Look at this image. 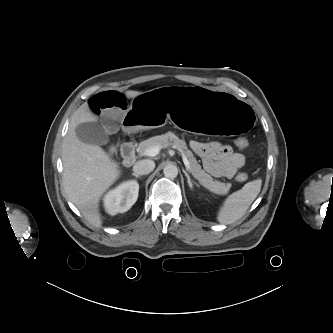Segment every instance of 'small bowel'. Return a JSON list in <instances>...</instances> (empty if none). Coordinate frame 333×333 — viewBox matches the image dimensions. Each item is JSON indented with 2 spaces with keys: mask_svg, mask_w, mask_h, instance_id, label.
Masks as SVG:
<instances>
[{
  "mask_svg": "<svg viewBox=\"0 0 333 333\" xmlns=\"http://www.w3.org/2000/svg\"><path fill=\"white\" fill-rule=\"evenodd\" d=\"M128 106V97L120 91H104L87 102L88 111L101 117L108 128H114ZM190 146L203 162L204 169L214 177H233L243 167L245 156L217 142L192 141Z\"/></svg>",
  "mask_w": 333,
  "mask_h": 333,
  "instance_id": "obj_1",
  "label": "small bowel"
}]
</instances>
